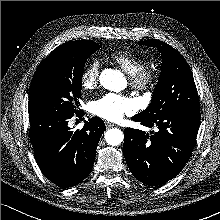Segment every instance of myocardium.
Instances as JSON below:
<instances>
[{
	"instance_id": "obj_1",
	"label": "myocardium",
	"mask_w": 220,
	"mask_h": 220,
	"mask_svg": "<svg viewBox=\"0 0 220 220\" xmlns=\"http://www.w3.org/2000/svg\"><path fill=\"white\" fill-rule=\"evenodd\" d=\"M158 81V72L152 68H145L130 78L131 86L139 91L152 90Z\"/></svg>"
}]
</instances>
